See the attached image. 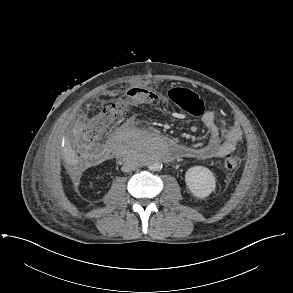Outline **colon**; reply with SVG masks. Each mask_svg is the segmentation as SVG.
<instances>
[{"mask_svg": "<svg viewBox=\"0 0 293 293\" xmlns=\"http://www.w3.org/2000/svg\"><path fill=\"white\" fill-rule=\"evenodd\" d=\"M153 93L143 87H133L126 95L110 105L104 107L98 114L89 119L83 133L86 142H92L104 134L124 113L132 107L143 106L152 102ZM173 101L188 112H194L200 101L198 95L185 88H176L172 93ZM240 159L233 152H226L223 156V166L228 171L239 167Z\"/></svg>", "mask_w": 293, "mask_h": 293, "instance_id": "colon-1", "label": "colon"}]
</instances>
